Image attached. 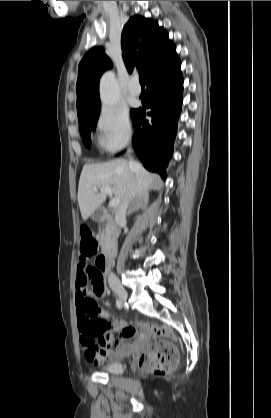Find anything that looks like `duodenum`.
<instances>
[{"label":"duodenum","mask_w":271,"mask_h":418,"mask_svg":"<svg viewBox=\"0 0 271 418\" xmlns=\"http://www.w3.org/2000/svg\"><path fill=\"white\" fill-rule=\"evenodd\" d=\"M96 221H108L109 231L107 241L104 245L102 253L96 260V265L102 267V274L107 273L112 263L116 250V237L118 233L117 227L113 224V216L105 211H97L94 214Z\"/></svg>","instance_id":"410a0bca"}]
</instances>
